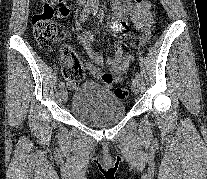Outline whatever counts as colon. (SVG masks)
I'll use <instances>...</instances> for the list:
<instances>
[{"instance_id":"1","label":"colon","mask_w":207,"mask_h":179,"mask_svg":"<svg viewBox=\"0 0 207 179\" xmlns=\"http://www.w3.org/2000/svg\"><path fill=\"white\" fill-rule=\"evenodd\" d=\"M136 2L146 3L148 0H136ZM56 5V0H44L32 17L34 37L42 48H49L55 38L56 30L53 17ZM62 74L71 83H77L83 78V66L73 51L66 50L64 52ZM109 79L108 76H105L103 81L107 82ZM114 93L122 99H126L129 96L127 88H117Z\"/></svg>"}]
</instances>
